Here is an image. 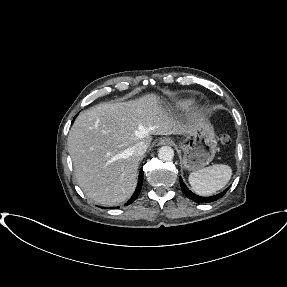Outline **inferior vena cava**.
I'll list each match as a JSON object with an SVG mask.
<instances>
[{"label": "inferior vena cava", "instance_id": "obj_1", "mask_svg": "<svg viewBox=\"0 0 287 287\" xmlns=\"http://www.w3.org/2000/svg\"><path fill=\"white\" fill-rule=\"evenodd\" d=\"M146 150L147 144L144 141H139L132 147V153L137 157H141Z\"/></svg>", "mask_w": 287, "mask_h": 287}]
</instances>
